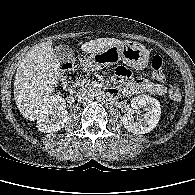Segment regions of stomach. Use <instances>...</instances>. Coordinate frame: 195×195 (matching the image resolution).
I'll return each mask as SVG.
<instances>
[{
  "mask_svg": "<svg viewBox=\"0 0 195 195\" xmlns=\"http://www.w3.org/2000/svg\"><path fill=\"white\" fill-rule=\"evenodd\" d=\"M123 60L128 66L141 70L149 62V52L140 43L127 41L111 46L101 52L89 56V65L92 70H100Z\"/></svg>",
  "mask_w": 195,
  "mask_h": 195,
  "instance_id": "1",
  "label": "stomach"
}]
</instances>
